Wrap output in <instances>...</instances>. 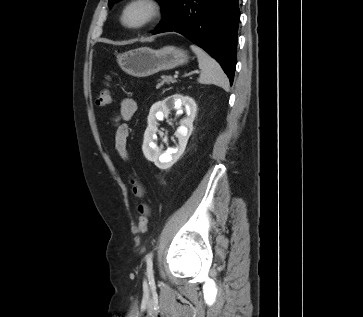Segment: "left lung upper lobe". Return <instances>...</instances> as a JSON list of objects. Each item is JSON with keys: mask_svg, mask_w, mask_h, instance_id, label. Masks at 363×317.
<instances>
[{"mask_svg": "<svg viewBox=\"0 0 363 317\" xmlns=\"http://www.w3.org/2000/svg\"><path fill=\"white\" fill-rule=\"evenodd\" d=\"M119 0H109L108 5L111 6L113 5L115 2H118ZM162 6V11L167 7V5L169 4V2L171 0H158Z\"/></svg>", "mask_w": 363, "mask_h": 317, "instance_id": "left-lung-upper-lobe-1", "label": "left lung upper lobe"}]
</instances>
